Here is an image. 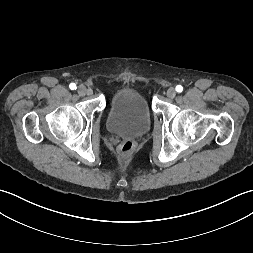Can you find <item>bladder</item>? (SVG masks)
<instances>
[{
	"mask_svg": "<svg viewBox=\"0 0 253 253\" xmlns=\"http://www.w3.org/2000/svg\"><path fill=\"white\" fill-rule=\"evenodd\" d=\"M151 126V112L145 97L133 89L118 91L110 101L106 127L114 135L137 138Z\"/></svg>",
	"mask_w": 253,
	"mask_h": 253,
	"instance_id": "31cf9c89",
	"label": "bladder"
}]
</instances>
